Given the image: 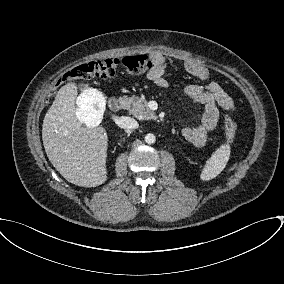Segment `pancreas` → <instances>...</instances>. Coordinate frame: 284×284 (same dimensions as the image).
<instances>
[{
  "mask_svg": "<svg viewBox=\"0 0 284 284\" xmlns=\"http://www.w3.org/2000/svg\"><path fill=\"white\" fill-rule=\"evenodd\" d=\"M122 107L129 110V113L138 119H155V112L151 111L147 105V100L138 96L120 97Z\"/></svg>",
  "mask_w": 284,
  "mask_h": 284,
  "instance_id": "pancreas-1",
  "label": "pancreas"
}]
</instances>
